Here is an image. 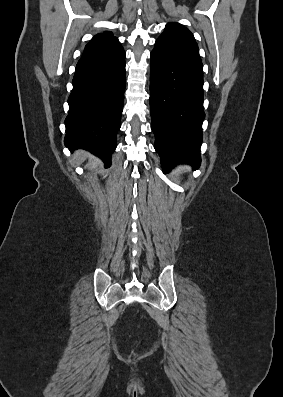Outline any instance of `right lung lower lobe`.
Segmentation results:
<instances>
[{"mask_svg":"<svg viewBox=\"0 0 283 397\" xmlns=\"http://www.w3.org/2000/svg\"><path fill=\"white\" fill-rule=\"evenodd\" d=\"M125 57L75 71L65 119V146L85 149L109 166L120 129L126 81Z\"/></svg>","mask_w":283,"mask_h":397,"instance_id":"98d812e1","label":"right lung lower lobe"}]
</instances>
